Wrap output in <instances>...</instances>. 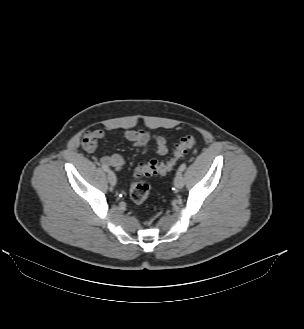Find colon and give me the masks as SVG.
<instances>
[{
    "label": "colon",
    "mask_w": 304,
    "mask_h": 329,
    "mask_svg": "<svg viewBox=\"0 0 304 329\" xmlns=\"http://www.w3.org/2000/svg\"><path fill=\"white\" fill-rule=\"evenodd\" d=\"M197 140L192 135H186L174 146L172 155L165 162L151 160L149 162L139 163L133 174V181L129 188L131 200L136 204L145 203L150 197V187L142 181L143 178H148L157 175H166L170 173L180 159L184 157L187 151L195 146Z\"/></svg>",
    "instance_id": "1"
}]
</instances>
